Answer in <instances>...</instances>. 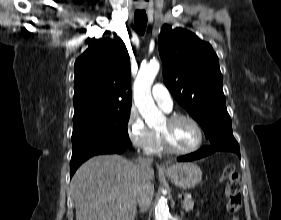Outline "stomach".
<instances>
[{
    "mask_svg": "<svg viewBox=\"0 0 281 220\" xmlns=\"http://www.w3.org/2000/svg\"><path fill=\"white\" fill-rule=\"evenodd\" d=\"M169 179L182 189H191L202 180V171L196 163H174L165 170Z\"/></svg>",
    "mask_w": 281,
    "mask_h": 220,
    "instance_id": "1",
    "label": "stomach"
}]
</instances>
